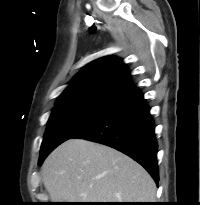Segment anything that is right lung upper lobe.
Segmentation results:
<instances>
[{"label": "right lung upper lobe", "mask_w": 200, "mask_h": 205, "mask_svg": "<svg viewBox=\"0 0 200 205\" xmlns=\"http://www.w3.org/2000/svg\"><path fill=\"white\" fill-rule=\"evenodd\" d=\"M133 88L130 74L121 59L103 57L87 65L60 95L58 102L72 99L116 101Z\"/></svg>", "instance_id": "cb5924a9"}]
</instances>
